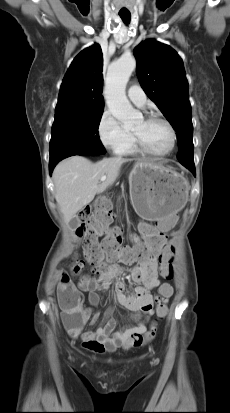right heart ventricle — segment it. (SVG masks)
I'll list each match as a JSON object with an SVG mask.
<instances>
[{"label":"right heart ventricle","instance_id":"e07e8e85","mask_svg":"<svg viewBox=\"0 0 230 413\" xmlns=\"http://www.w3.org/2000/svg\"><path fill=\"white\" fill-rule=\"evenodd\" d=\"M137 151L138 149L133 138L132 141L120 153L124 155H132L137 153Z\"/></svg>","mask_w":230,"mask_h":413}]
</instances>
